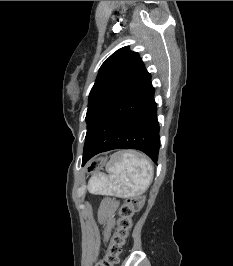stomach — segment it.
Listing matches in <instances>:
<instances>
[{"label": "stomach", "instance_id": "1", "mask_svg": "<svg viewBox=\"0 0 233 266\" xmlns=\"http://www.w3.org/2000/svg\"><path fill=\"white\" fill-rule=\"evenodd\" d=\"M113 156H104L103 152L99 156H94V161H89V166H110ZM86 172H101V167H86Z\"/></svg>", "mask_w": 233, "mask_h": 266}]
</instances>
